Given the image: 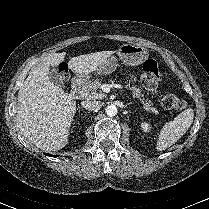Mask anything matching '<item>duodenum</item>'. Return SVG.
Here are the masks:
<instances>
[{"label":"duodenum","mask_w":209,"mask_h":209,"mask_svg":"<svg viewBox=\"0 0 209 209\" xmlns=\"http://www.w3.org/2000/svg\"><path fill=\"white\" fill-rule=\"evenodd\" d=\"M87 87V83L82 80H75L72 84L71 93L74 97H81Z\"/></svg>","instance_id":"1"}]
</instances>
